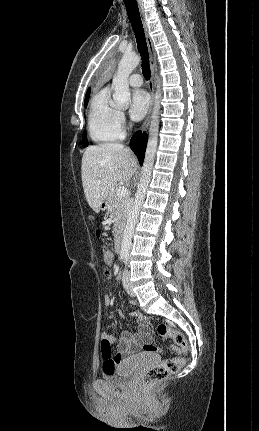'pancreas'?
Instances as JSON below:
<instances>
[{
  "label": "pancreas",
  "instance_id": "obj_1",
  "mask_svg": "<svg viewBox=\"0 0 259 431\" xmlns=\"http://www.w3.org/2000/svg\"><path fill=\"white\" fill-rule=\"evenodd\" d=\"M118 186L114 187L108 196V211L114 221L115 234H118L124 225L127 216V198L117 196Z\"/></svg>",
  "mask_w": 259,
  "mask_h": 431
}]
</instances>
